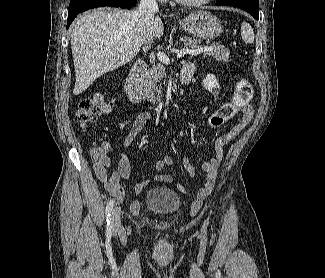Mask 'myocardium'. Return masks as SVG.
<instances>
[{"mask_svg": "<svg viewBox=\"0 0 325 278\" xmlns=\"http://www.w3.org/2000/svg\"><path fill=\"white\" fill-rule=\"evenodd\" d=\"M212 0H176V2L190 7H201L208 3H210Z\"/></svg>", "mask_w": 325, "mask_h": 278, "instance_id": "f54148a6", "label": "myocardium"}]
</instances>
